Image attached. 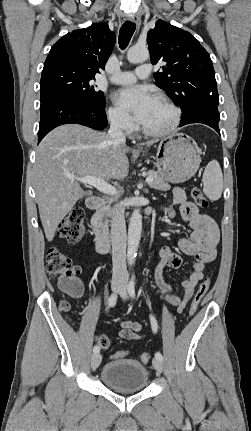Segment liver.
I'll return each instance as SVG.
<instances>
[{
	"label": "liver",
	"instance_id": "liver-1",
	"mask_svg": "<svg viewBox=\"0 0 251 431\" xmlns=\"http://www.w3.org/2000/svg\"><path fill=\"white\" fill-rule=\"evenodd\" d=\"M154 142L145 143L147 147ZM124 144L105 133L79 124L59 126L48 133L36 150L33 182L40 219L49 242L59 223L85 192L70 177L94 176L121 180L129 172Z\"/></svg>",
	"mask_w": 251,
	"mask_h": 431
}]
</instances>
